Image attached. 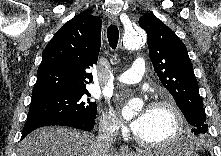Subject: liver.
<instances>
[{"label": "liver", "instance_id": "6515ba94", "mask_svg": "<svg viewBox=\"0 0 221 156\" xmlns=\"http://www.w3.org/2000/svg\"><path fill=\"white\" fill-rule=\"evenodd\" d=\"M19 156H117L102 151L97 138L65 127H45L30 133L20 144Z\"/></svg>", "mask_w": 221, "mask_h": 156}]
</instances>
